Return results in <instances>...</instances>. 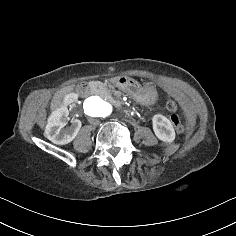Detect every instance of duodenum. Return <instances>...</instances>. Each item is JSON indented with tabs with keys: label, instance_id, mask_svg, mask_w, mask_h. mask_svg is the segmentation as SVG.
I'll return each mask as SVG.
<instances>
[{
	"label": "duodenum",
	"instance_id": "410a0bca",
	"mask_svg": "<svg viewBox=\"0 0 236 236\" xmlns=\"http://www.w3.org/2000/svg\"><path fill=\"white\" fill-rule=\"evenodd\" d=\"M111 83L113 84H118L120 83V79L119 78H112ZM91 91V84L90 83H83L79 86L78 88V92L82 97H86L90 94Z\"/></svg>",
	"mask_w": 236,
	"mask_h": 236
}]
</instances>
